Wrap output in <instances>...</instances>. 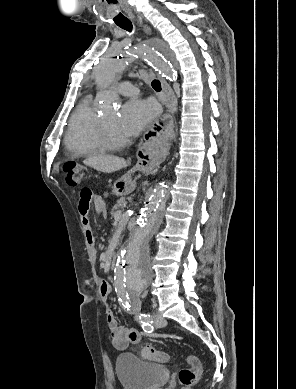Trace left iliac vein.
Segmentation results:
<instances>
[{"instance_id": "left-iliac-vein-1", "label": "left iliac vein", "mask_w": 296, "mask_h": 389, "mask_svg": "<svg viewBox=\"0 0 296 389\" xmlns=\"http://www.w3.org/2000/svg\"><path fill=\"white\" fill-rule=\"evenodd\" d=\"M167 321L163 318L159 313L154 314V325L156 327H164L166 326Z\"/></svg>"}]
</instances>
